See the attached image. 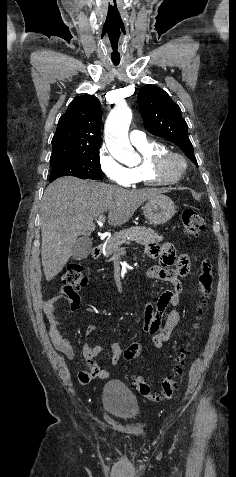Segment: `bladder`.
I'll use <instances>...</instances> for the list:
<instances>
[{
	"label": "bladder",
	"instance_id": "31cf9c89",
	"mask_svg": "<svg viewBox=\"0 0 236 477\" xmlns=\"http://www.w3.org/2000/svg\"><path fill=\"white\" fill-rule=\"evenodd\" d=\"M101 397L104 409L115 418L132 419L140 412L135 397L117 380H110L104 385Z\"/></svg>",
	"mask_w": 236,
	"mask_h": 477
}]
</instances>
